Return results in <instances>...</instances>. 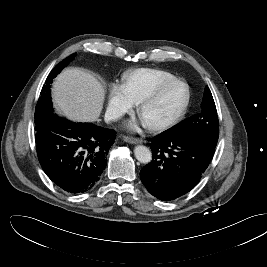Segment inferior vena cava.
Here are the masks:
<instances>
[{"label":"inferior vena cava","instance_id":"1","mask_svg":"<svg viewBox=\"0 0 267 267\" xmlns=\"http://www.w3.org/2000/svg\"><path fill=\"white\" fill-rule=\"evenodd\" d=\"M121 117V113L117 111H107L105 114V121L117 120Z\"/></svg>","mask_w":267,"mask_h":267}]
</instances>
